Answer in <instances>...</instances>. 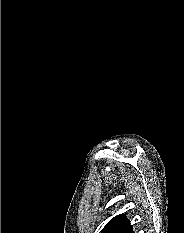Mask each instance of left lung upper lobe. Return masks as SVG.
I'll return each mask as SVG.
<instances>
[{
	"label": "left lung upper lobe",
	"mask_w": 184,
	"mask_h": 233,
	"mask_svg": "<svg viewBox=\"0 0 184 233\" xmlns=\"http://www.w3.org/2000/svg\"><path fill=\"white\" fill-rule=\"evenodd\" d=\"M101 233H134L133 227L124 214L112 218L102 229Z\"/></svg>",
	"instance_id": "1"
}]
</instances>
